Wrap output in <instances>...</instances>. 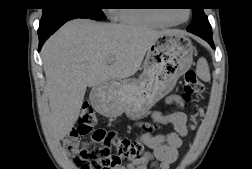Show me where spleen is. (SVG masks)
<instances>
[{
    "instance_id": "spleen-1",
    "label": "spleen",
    "mask_w": 252,
    "mask_h": 169,
    "mask_svg": "<svg viewBox=\"0 0 252 169\" xmlns=\"http://www.w3.org/2000/svg\"><path fill=\"white\" fill-rule=\"evenodd\" d=\"M197 74L198 77L205 81L208 82L210 81V72H209V67L206 59L200 58L197 62Z\"/></svg>"
}]
</instances>
